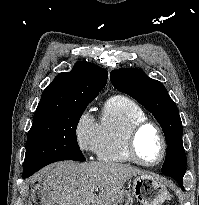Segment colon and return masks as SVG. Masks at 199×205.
<instances>
[{"label":"colon","instance_id":"obj_1","mask_svg":"<svg viewBox=\"0 0 199 205\" xmlns=\"http://www.w3.org/2000/svg\"><path fill=\"white\" fill-rule=\"evenodd\" d=\"M33 205H42L41 203L35 202Z\"/></svg>","mask_w":199,"mask_h":205}]
</instances>
